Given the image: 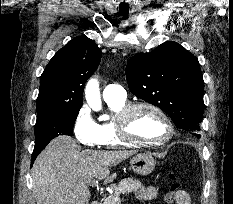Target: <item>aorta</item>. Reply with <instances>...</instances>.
Returning a JSON list of instances; mask_svg holds the SVG:
<instances>
[{
    "instance_id": "obj_1",
    "label": "aorta",
    "mask_w": 233,
    "mask_h": 204,
    "mask_svg": "<svg viewBox=\"0 0 233 204\" xmlns=\"http://www.w3.org/2000/svg\"><path fill=\"white\" fill-rule=\"evenodd\" d=\"M85 97L88 105L94 111H100L102 108L101 98H100V91H99V83L97 79L91 78L85 88ZM108 116L103 115L101 119L105 120Z\"/></svg>"
}]
</instances>
